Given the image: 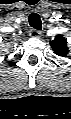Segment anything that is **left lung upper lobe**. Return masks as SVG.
<instances>
[{
  "instance_id": "5c2ea615",
  "label": "left lung upper lobe",
  "mask_w": 71,
  "mask_h": 119,
  "mask_svg": "<svg viewBox=\"0 0 71 119\" xmlns=\"http://www.w3.org/2000/svg\"><path fill=\"white\" fill-rule=\"evenodd\" d=\"M50 45L55 54L59 56H66L69 52L67 41L62 35H58L50 42Z\"/></svg>"
}]
</instances>
